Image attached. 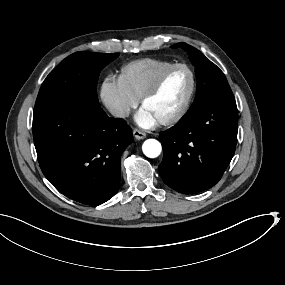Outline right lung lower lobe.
<instances>
[{
	"label": "right lung lower lobe",
	"instance_id": "98d812e1",
	"mask_svg": "<svg viewBox=\"0 0 285 285\" xmlns=\"http://www.w3.org/2000/svg\"><path fill=\"white\" fill-rule=\"evenodd\" d=\"M39 165L64 196L90 206L112 198L120 185V160L133 140L123 119L97 104L61 99L33 112Z\"/></svg>",
	"mask_w": 285,
	"mask_h": 285
}]
</instances>
